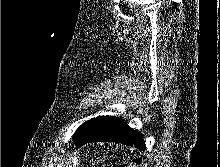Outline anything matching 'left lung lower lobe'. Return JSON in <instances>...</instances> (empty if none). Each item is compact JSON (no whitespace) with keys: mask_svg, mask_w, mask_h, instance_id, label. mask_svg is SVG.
<instances>
[{"mask_svg":"<svg viewBox=\"0 0 220 167\" xmlns=\"http://www.w3.org/2000/svg\"><path fill=\"white\" fill-rule=\"evenodd\" d=\"M116 142L144 150L145 144L141 133L127 126L120 118L100 116L84 135L74 142L77 148L90 142Z\"/></svg>","mask_w":220,"mask_h":167,"instance_id":"obj_1","label":"left lung lower lobe"}]
</instances>
